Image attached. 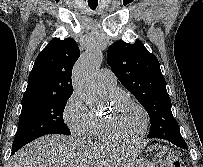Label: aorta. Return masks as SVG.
<instances>
[{"label":"aorta","mask_w":203,"mask_h":167,"mask_svg":"<svg viewBox=\"0 0 203 167\" xmlns=\"http://www.w3.org/2000/svg\"><path fill=\"white\" fill-rule=\"evenodd\" d=\"M102 58L101 51L92 47L80 57L73 70L74 91L89 105L94 104L99 98L100 92L95 76Z\"/></svg>","instance_id":"obj_1"}]
</instances>
